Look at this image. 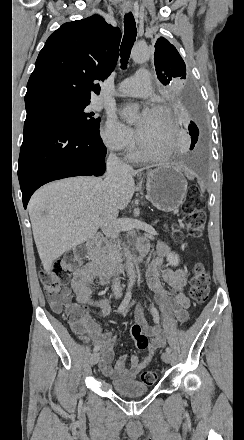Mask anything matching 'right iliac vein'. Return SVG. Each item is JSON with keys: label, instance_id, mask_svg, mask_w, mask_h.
Here are the masks:
<instances>
[{"label": "right iliac vein", "instance_id": "1", "mask_svg": "<svg viewBox=\"0 0 244 440\" xmlns=\"http://www.w3.org/2000/svg\"><path fill=\"white\" fill-rule=\"evenodd\" d=\"M99 359H100V353L94 352L91 356V359H90L91 365H96L98 363Z\"/></svg>", "mask_w": 244, "mask_h": 440}]
</instances>
